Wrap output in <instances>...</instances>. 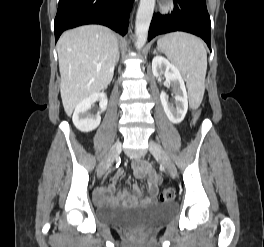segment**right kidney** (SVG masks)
<instances>
[{
  "mask_svg": "<svg viewBox=\"0 0 264 247\" xmlns=\"http://www.w3.org/2000/svg\"><path fill=\"white\" fill-rule=\"evenodd\" d=\"M98 100L100 101V111H98V113L94 116L89 112V110L91 105ZM107 105L108 99L106 94L103 92L92 94L83 99L76 106L72 116V121L75 127L81 132H90L96 129L101 122L100 114L106 110Z\"/></svg>",
  "mask_w": 264,
  "mask_h": 247,
  "instance_id": "obj_1",
  "label": "right kidney"
}]
</instances>
